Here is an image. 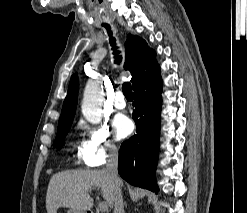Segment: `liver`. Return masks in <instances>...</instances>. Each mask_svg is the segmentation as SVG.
<instances>
[{"label":"liver","instance_id":"1","mask_svg":"<svg viewBox=\"0 0 247 213\" xmlns=\"http://www.w3.org/2000/svg\"><path fill=\"white\" fill-rule=\"evenodd\" d=\"M100 189L103 199L112 207L114 183L106 170H68L54 174L46 194L48 213H57L58 208L67 207L87 211L93 206L90 193Z\"/></svg>","mask_w":247,"mask_h":213}]
</instances>
